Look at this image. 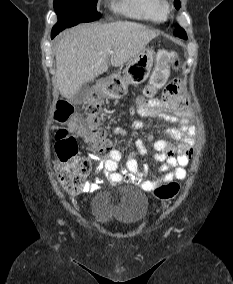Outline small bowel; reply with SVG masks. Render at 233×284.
Wrapping results in <instances>:
<instances>
[{"instance_id": "1", "label": "small bowel", "mask_w": 233, "mask_h": 284, "mask_svg": "<svg viewBox=\"0 0 233 284\" xmlns=\"http://www.w3.org/2000/svg\"><path fill=\"white\" fill-rule=\"evenodd\" d=\"M189 104L183 93V84L181 80L174 79L165 88L159 99H139L132 107L131 113L142 117H152L165 119L173 124L166 130V134L179 140L177 144H172L167 140L153 141L155 150V160L160 162V166L153 173L152 180H144L143 176L149 171V166L144 164L142 167L136 159L137 154H145L146 148L143 142L136 141V150L126 160L123 168L119 163L123 158L119 150L111 151L106 157L100 158L95 154L89 156V160L98 163V170L102 172L106 180L114 185L120 182L139 185L144 191L150 192L159 185H164L174 180H182L186 177V167L194 153V128L190 125ZM132 126L135 129L144 127L140 120H134ZM115 135L126 136L127 132L119 127L113 128ZM78 133L83 136L84 128H78ZM150 140H153L150 137ZM102 180L98 179L92 182H86L80 189L81 192H93L101 187Z\"/></svg>"}]
</instances>
